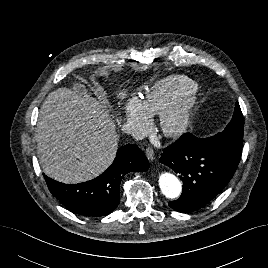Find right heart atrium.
I'll use <instances>...</instances> for the list:
<instances>
[{"instance_id":"1","label":"right heart atrium","mask_w":268,"mask_h":268,"mask_svg":"<svg viewBox=\"0 0 268 268\" xmlns=\"http://www.w3.org/2000/svg\"><path fill=\"white\" fill-rule=\"evenodd\" d=\"M124 119L128 129L139 133L142 127L147 124L152 114L145 105L142 98L133 96L123 103Z\"/></svg>"}]
</instances>
